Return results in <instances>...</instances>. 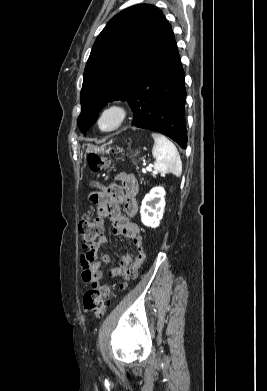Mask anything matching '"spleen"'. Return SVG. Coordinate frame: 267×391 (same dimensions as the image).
<instances>
[{
    "mask_svg": "<svg viewBox=\"0 0 267 391\" xmlns=\"http://www.w3.org/2000/svg\"><path fill=\"white\" fill-rule=\"evenodd\" d=\"M154 146L152 155L155 158L154 169L162 173H172L176 177L182 174V162L176 146L164 135L152 133Z\"/></svg>",
    "mask_w": 267,
    "mask_h": 391,
    "instance_id": "1",
    "label": "spleen"
}]
</instances>
